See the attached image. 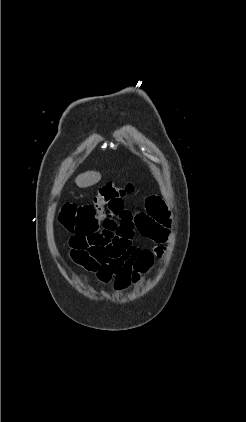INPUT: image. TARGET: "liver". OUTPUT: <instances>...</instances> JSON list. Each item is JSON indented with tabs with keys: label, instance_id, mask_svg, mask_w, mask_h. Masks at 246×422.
Segmentation results:
<instances>
[{
	"label": "liver",
	"instance_id": "6515ba94",
	"mask_svg": "<svg viewBox=\"0 0 246 422\" xmlns=\"http://www.w3.org/2000/svg\"><path fill=\"white\" fill-rule=\"evenodd\" d=\"M101 179V174L95 171H87L78 175L75 179L76 185L80 188H87L98 183Z\"/></svg>",
	"mask_w": 246,
	"mask_h": 422
}]
</instances>
